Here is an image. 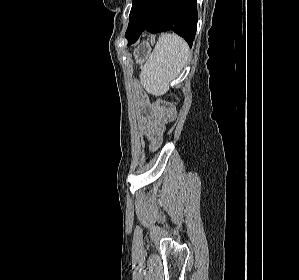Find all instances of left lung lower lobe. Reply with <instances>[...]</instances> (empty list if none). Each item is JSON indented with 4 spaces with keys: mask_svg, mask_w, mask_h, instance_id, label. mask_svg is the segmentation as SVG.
<instances>
[{
    "mask_svg": "<svg viewBox=\"0 0 299 280\" xmlns=\"http://www.w3.org/2000/svg\"><path fill=\"white\" fill-rule=\"evenodd\" d=\"M197 20L196 0H133L125 36L131 45L145 30L153 34L172 30L191 47Z\"/></svg>",
    "mask_w": 299,
    "mask_h": 280,
    "instance_id": "left-lung-lower-lobe-1",
    "label": "left lung lower lobe"
}]
</instances>
